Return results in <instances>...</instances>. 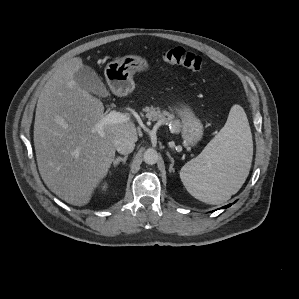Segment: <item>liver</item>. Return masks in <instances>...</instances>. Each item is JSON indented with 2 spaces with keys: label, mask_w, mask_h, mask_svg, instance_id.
<instances>
[{
  "label": "liver",
  "mask_w": 299,
  "mask_h": 299,
  "mask_svg": "<svg viewBox=\"0 0 299 299\" xmlns=\"http://www.w3.org/2000/svg\"><path fill=\"white\" fill-rule=\"evenodd\" d=\"M82 66V59L74 57L54 72L39 95L34 123L39 173L55 195L75 206L89 203L114 161L118 142L138 139L130 121L95 130L104 106L75 82Z\"/></svg>",
  "instance_id": "1"
}]
</instances>
